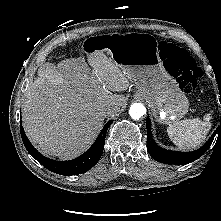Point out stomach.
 <instances>
[{
  "label": "stomach",
  "instance_id": "obj_1",
  "mask_svg": "<svg viewBox=\"0 0 221 221\" xmlns=\"http://www.w3.org/2000/svg\"><path fill=\"white\" fill-rule=\"evenodd\" d=\"M88 57L103 51L134 80L136 98L144 99L161 124L178 122L188 112L189 102L178 83L165 70L157 40L148 33H111L87 39L82 47Z\"/></svg>",
  "mask_w": 221,
  "mask_h": 221
}]
</instances>
